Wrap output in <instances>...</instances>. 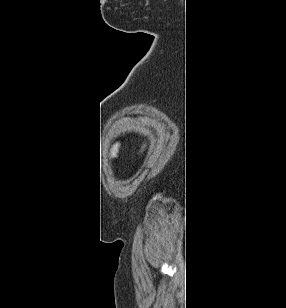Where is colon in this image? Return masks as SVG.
<instances>
[{"instance_id": "5ec220e1", "label": "colon", "mask_w": 286, "mask_h": 308, "mask_svg": "<svg viewBox=\"0 0 286 308\" xmlns=\"http://www.w3.org/2000/svg\"><path fill=\"white\" fill-rule=\"evenodd\" d=\"M119 149H120V144L119 143H116L115 145H113V147L111 149V156L112 157H116L118 152H119Z\"/></svg>"}]
</instances>
